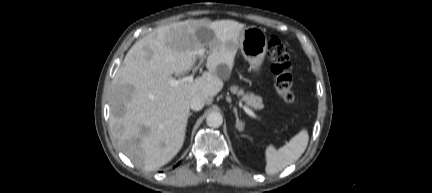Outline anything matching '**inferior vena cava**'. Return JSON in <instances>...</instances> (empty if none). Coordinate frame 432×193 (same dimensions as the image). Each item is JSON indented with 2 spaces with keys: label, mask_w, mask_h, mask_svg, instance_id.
<instances>
[{
  "label": "inferior vena cava",
  "mask_w": 432,
  "mask_h": 193,
  "mask_svg": "<svg viewBox=\"0 0 432 193\" xmlns=\"http://www.w3.org/2000/svg\"><path fill=\"white\" fill-rule=\"evenodd\" d=\"M205 100L201 95H195L190 102V108L194 111H199L204 107Z\"/></svg>",
  "instance_id": "1"
}]
</instances>
